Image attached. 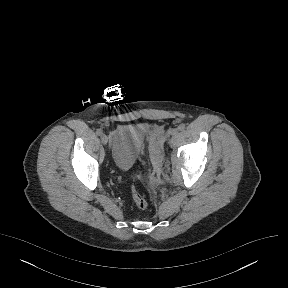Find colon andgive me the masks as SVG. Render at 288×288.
Returning a JSON list of instances; mask_svg holds the SVG:
<instances>
[{
	"label": "colon",
	"instance_id": "5ec220e1",
	"mask_svg": "<svg viewBox=\"0 0 288 288\" xmlns=\"http://www.w3.org/2000/svg\"><path fill=\"white\" fill-rule=\"evenodd\" d=\"M132 198L136 207L140 210H145L148 206L146 199L137 190L133 189Z\"/></svg>",
	"mask_w": 288,
	"mask_h": 288
}]
</instances>
